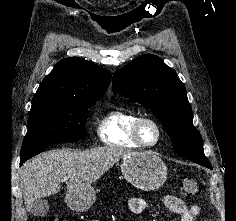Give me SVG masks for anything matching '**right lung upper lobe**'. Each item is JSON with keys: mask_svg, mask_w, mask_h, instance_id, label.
Returning <instances> with one entry per match:
<instances>
[{"mask_svg": "<svg viewBox=\"0 0 236 221\" xmlns=\"http://www.w3.org/2000/svg\"><path fill=\"white\" fill-rule=\"evenodd\" d=\"M111 73L79 57L60 60L43 79L33 101L82 102L99 100Z\"/></svg>", "mask_w": 236, "mask_h": 221, "instance_id": "cb5924a9", "label": "right lung upper lobe"}]
</instances>
